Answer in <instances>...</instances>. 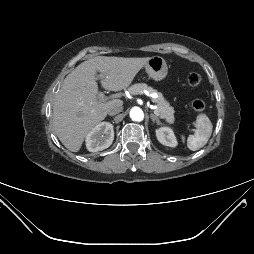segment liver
<instances>
[{
	"label": "liver",
	"mask_w": 254,
	"mask_h": 254,
	"mask_svg": "<svg viewBox=\"0 0 254 254\" xmlns=\"http://www.w3.org/2000/svg\"><path fill=\"white\" fill-rule=\"evenodd\" d=\"M150 57L123 58L97 56L79 64L66 76L53 105V127L61 143L70 151L80 150L87 134L113 105H123L121 95L97 100L99 72L102 86L110 91L127 88Z\"/></svg>",
	"instance_id": "obj_1"
}]
</instances>
